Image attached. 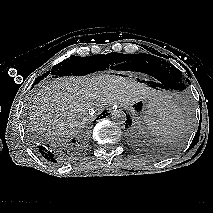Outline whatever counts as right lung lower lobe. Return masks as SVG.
<instances>
[{"label":"right lung lower lobe","mask_w":213,"mask_h":213,"mask_svg":"<svg viewBox=\"0 0 213 213\" xmlns=\"http://www.w3.org/2000/svg\"><path fill=\"white\" fill-rule=\"evenodd\" d=\"M43 78V76L38 77L35 81V84H37ZM108 114L109 113H107V111H104L99 115V117H105ZM37 145L38 151L42 157L54 163H63L73 159L81 152L83 148V142L76 139H72L69 143L66 144L51 145L49 143L45 144L43 141H39Z\"/></svg>","instance_id":"right-lung-lower-lobe-1"}]
</instances>
